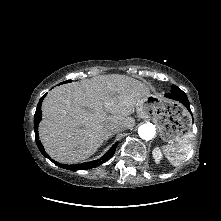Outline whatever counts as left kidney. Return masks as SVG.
I'll use <instances>...</instances> for the list:
<instances>
[{"label": "left kidney", "instance_id": "5707ae66", "mask_svg": "<svg viewBox=\"0 0 221 221\" xmlns=\"http://www.w3.org/2000/svg\"><path fill=\"white\" fill-rule=\"evenodd\" d=\"M152 155L156 163H159L162 159V152L159 147L154 148Z\"/></svg>", "mask_w": 221, "mask_h": 221}]
</instances>
